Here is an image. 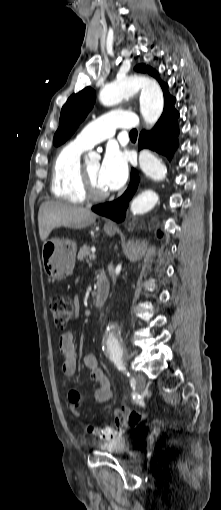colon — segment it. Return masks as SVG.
Returning <instances> with one entry per match:
<instances>
[{
    "instance_id": "5ec220e1",
    "label": "colon",
    "mask_w": 221,
    "mask_h": 510,
    "mask_svg": "<svg viewBox=\"0 0 221 510\" xmlns=\"http://www.w3.org/2000/svg\"><path fill=\"white\" fill-rule=\"evenodd\" d=\"M50 312L52 315V319L56 327L59 329H64L74 315V310L72 304L66 300L62 295H54L50 298L49 301ZM124 417L127 425L136 426L143 419L144 414L137 411H122L119 412ZM87 432L92 435H96L102 438H112L113 431L111 428H98L92 425L87 427Z\"/></svg>"
}]
</instances>
